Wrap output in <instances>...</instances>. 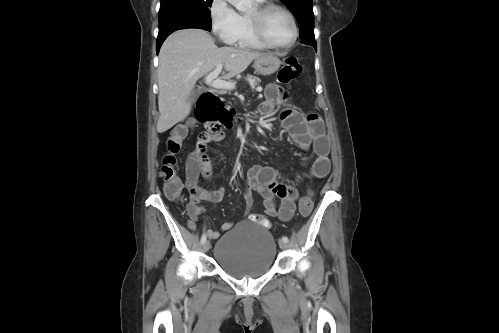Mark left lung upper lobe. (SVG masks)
<instances>
[{
    "label": "left lung upper lobe",
    "mask_w": 499,
    "mask_h": 333,
    "mask_svg": "<svg viewBox=\"0 0 499 333\" xmlns=\"http://www.w3.org/2000/svg\"><path fill=\"white\" fill-rule=\"evenodd\" d=\"M298 21L301 39H314V13L312 0H281Z\"/></svg>",
    "instance_id": "1"
}]
</instances>
